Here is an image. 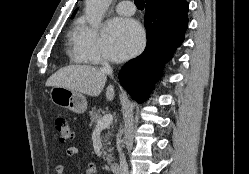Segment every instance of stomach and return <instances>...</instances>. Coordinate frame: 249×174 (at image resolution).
Returning <instances> with one entry per match:
<instances>
[{
    "mask_svg": "<svg viewBox=\"0 0 249 174\" xmlns=\"http://www.w3.org/2000/svg\"><path fill=\"white\" fill-rule=\"evenodd\" d=\"M51 101L60 107L68 108L75 113H84L87 109L86 97L61 86H53L50 91Z\"/></svg>",
    "mask_w": 249,
    "mask_h": 174,
    "instance_id": "obj_1",
    "label": "stomach"
}]
</instances>
